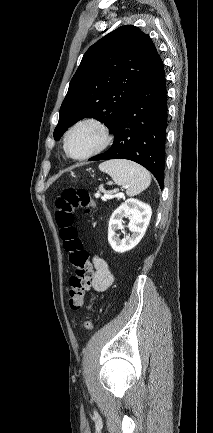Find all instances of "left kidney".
Segmentation results:
<instances>
[{
    "label": "left kidney",
    "mask_w": 213,
    "mask_h": 433,
    "mask_svg": "<svg viewBox=\"0 0 213 433\" xmlns=\"http://www.w3.org/2000/svg\"><path fill=\"white\" fill-rule=\"evenodd\" d=\"M151 215V207L137 199L130 198L121 204L113 212L109 221L108 241L112 249L118 253H124L133 249L143 238L149 225ZM123 217L129 218L130 222L128 228L132 232V235L126 236V238L120 240L119 237L116 236V231L124 229L122 225Z\"/></svg>",
    "instance_id": "1"
}]
</instances>
